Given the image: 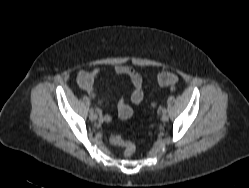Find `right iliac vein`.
<instances>
[{
    "label": "right iliac vein",
    "mask_w": 249,
    "mask_h": 188,
    "mask_svg": "<svg viewBox=\"0 0 249 188\" xmlns=\"http://www.w3.org/2000/svg\"><path fill=\"white\" fill-rule=\"evenodd\" d=\"M89 118L91 121H95V120H97V115L95 113H92V114H90Z\"/></svg>",
    "instance_id": "1"
}]
</instances>
